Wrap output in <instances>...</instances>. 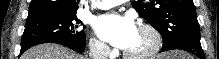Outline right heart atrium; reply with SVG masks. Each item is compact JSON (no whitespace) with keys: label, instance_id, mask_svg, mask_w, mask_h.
Returning a JSON list of instances; mask_svg holds the SVG:
<instances>
[{"label":"right heart atrium","instance_id":"d8ad5b80","mask_svg":"<svg viewBox=\"0 0 219 59\" xmlns=\"http://www.w3.org/2000/svg\"><path fill=\"white\" fill-rule=\"evenodd\" d=\"M90 49L92 55L95 57L103 58L106 57L109 53V48L107 45L98 38H92L90 40Z\"/></svg>","mask_w":219,"mask_h":59}]
</instances>
